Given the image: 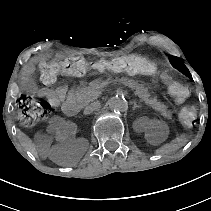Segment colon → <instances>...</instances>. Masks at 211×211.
I'll return each mask as SVG.
<instances>
[{"instance_id":"obj_1","label":"colon","mask_w":211,"mask_h":211,"mask_svg":"<svg viewBox=\"0 0 211 211\" xmlns=\"http://www.w3.org/2000/svg\"><path fill=\"white\" fill-rule=\"evenodd\" d=\"M126 73L129 75L158 74L156 62L148 57L132 54L113 59H102L88 62L81 57H67L62 60H53L41 65V81L52 84L60 75L81 76L88 71ZM170 92L178 102H184L190 95V90L177 82L170 81ZM18 120L26 127H32L46 119L51 111L50 103L44 98H37L30 94L21 95L17 102ZM179 118L186 127H192L197 118L193 106H185L179 112Z\"/></svg>"}]
</instances>
